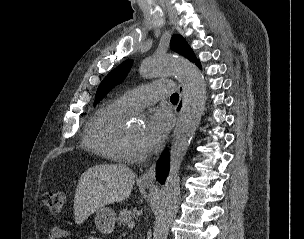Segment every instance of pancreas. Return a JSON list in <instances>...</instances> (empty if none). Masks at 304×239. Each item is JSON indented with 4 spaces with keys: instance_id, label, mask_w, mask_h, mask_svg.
Returning <instances> with one entry per match:
<instances>
[{
    "instance_id": "pancreas-1",
    "label": "pancreas",
    "mask_w": 304,
    "mask_h": 239,
    "mask_svg": "<svg viewBox=\"0 0 304 239\" xmlns=\"http://www.w3.org/2000/svg\"><path fill=\"white\" fill-rule=\"evenodd\" d=\"M134 216H135V212L128 209H123L120 212L119 217L117 218L118 225L119 226L121 224L128 225L131 222V220L134 218Z\"/></svg>"
}]
</instances>
